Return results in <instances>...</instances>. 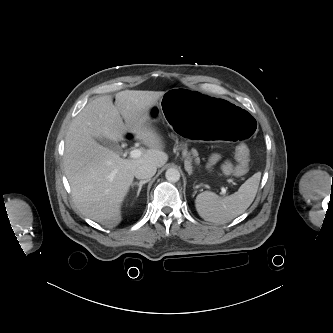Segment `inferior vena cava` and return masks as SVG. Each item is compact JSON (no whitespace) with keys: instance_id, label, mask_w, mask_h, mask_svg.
Listing matches in <instances>:
<instances>
[{"instance_id":"obj_1","label":"inferior vena cava","mask_w":333,"mask_h":333,"mask_svg":"<svg viewBox=\"0 0 333 333\" xmlns=\"http://www.w3.org/2000/svg\"><path fill=\"white\" fill-rule=\"evenodd\" d=\"M157 167L151 164H142L135 170L134 176L137 179L148 180L155 175Z\"/></svg>"}]
</instances>
